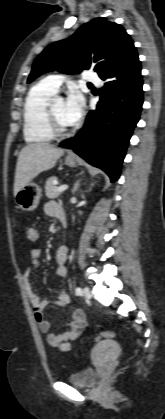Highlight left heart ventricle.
Instances as JSON below:
<instances>
[{"instance_id":"1","label":"left heart ventricle","mask_w":165,"mask_h":419,"mask_svg":"<svg viewBox=\"0 0 165 419\" xmlns=\"http://www.w3.org/2000/svg\"><path fill=\"white\" fill-rule=\"evenodd\" d=\"M54 113L58 119L60 125L64 128H68L73 124L66 119L65 116V102L62 100H55L53 102Z\"/></svg>"}]
</instances>
